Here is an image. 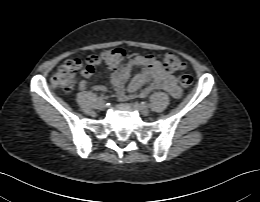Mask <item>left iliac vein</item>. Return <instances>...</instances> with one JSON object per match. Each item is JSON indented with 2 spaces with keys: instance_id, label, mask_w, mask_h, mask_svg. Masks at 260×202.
<instances>
[{
  "instance_id": "4c4485c4",
  "label": "left iliac vein",
  "mask_w": 260,
  "mask_h": 202,
  "mask_svg": "<svg viewBox=\"0 0 260 202\" xmlns=\"http://www.w3.org/2000/svg\"><path fill=\"white\" fill-rule=\"evenodd\" d=\"M133 107L139 111L141 114L143 115H148L150 113V110L148 108L147 105H142V104H139V103H134L133 104Z\"/></svg>"
}]
</instances>
